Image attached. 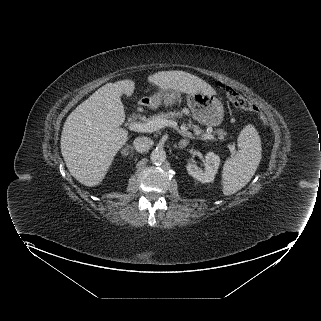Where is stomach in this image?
<instances>
[{"mask_svg":"<svg viewBox=\"0 0 321 321\" xmlns=\"http://www.w3.org/2000/svg\"><path fill=\"white\" fill-rule=\"evenodd\" d=\"M180 95V92L174 90H160L146 99L148 105L156 108L161 103L167 106L173 105L179 100ZM186 98L193 118L200 124L206 126L221 124L224 116L223 104L214 94L196 92L187 94Z\"/></svg>","mask_w":321,"mask_h":321,"instance_id":"1","label":"stomach"}]
</instances>
